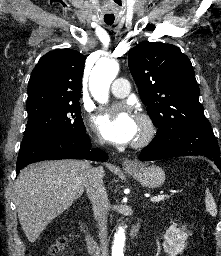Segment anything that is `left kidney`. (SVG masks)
<instances>
[{
	"label": "left kidney",
	"instance_id": "left-kidney-1",
	"mask_svg": "<svg viewBox=\"0 0 221 256\" xmlns=\"http://www.w3.org/2000/svg\"><path fill=\"white\" fill-rule=\"evenodd\" d=\"M187 239L185 230L177 228V224L173 223L164 234L163 249L169 256H177L183 252Z\"/></svg>",
	"mask_w": 221,
	"mask_h": 256
}]
</instances>
